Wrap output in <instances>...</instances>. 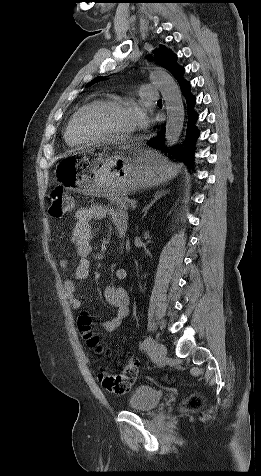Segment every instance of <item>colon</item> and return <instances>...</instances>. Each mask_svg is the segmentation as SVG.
I'll return each instance as SVG.
<instances>
[{"label": "colon", "mask_w": 261, "mask_h": 476, "mask_svg": "<svg viewBox=\"0 0 261 476\" xmlns=\"http://www.w3.org/2000/svg\"><path fill=\"white\" fill-rule=\"evenodd\" d=\"M50 214L53 217H63L74 210V200L62 185L54 187L50 193ZM92 318L82 313L78 318L79 331L91 348L100 350L99 339L91 332ZM139 372V362L130 357L122 371L118 374L100 372L98 380L102 387L110 393L124 394L129 391ZM203 406V398L198 394L190 395L184 402L183 408L188 411L198 410Z\"/></svg>", "instance_id": "5ec220e1"}]
</instances>
